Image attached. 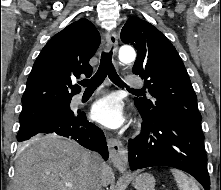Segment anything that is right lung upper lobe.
<instances>
[{
    "label": "right lung upper lobe",
    "instance_id": "right-lung-upper-lobe-1",
    "mask_svg": "<svg viewBox=\"0 0 221 190\" xmlns=\"http://www.w3.org/2000/svg\"><path fill=\"white\" fill-rule=\"evenodd\" d=\"M100 44L95 26L85 18L68 25L44 46L29 74L22 97L23 108L68 100L81 88V74L90 76L89 60Z\"/></svg>",
    "mask_w": 221,
    "mask_h": 190
}]
</instances>
